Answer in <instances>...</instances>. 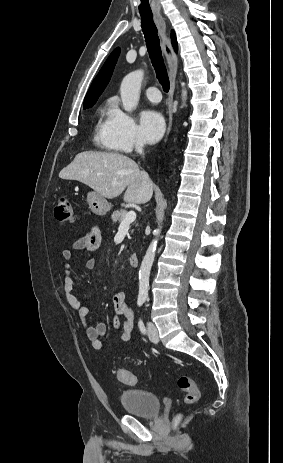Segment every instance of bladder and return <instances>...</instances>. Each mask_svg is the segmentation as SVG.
Returning <instances> with one entry per match:
<instances>
[{
	"label": "bladder",
	"mask_w": 283,
	"mask_h": 463,
	"mask_svg": "<svg viewBox=\"0 0 283 463\" xmlns=\"http://www.w3.org/2000/svg\"><path fill=\"white\" fill-rule=\"evenodd\" d=\"M122 409L131 415L155 418L161 411V399L154 393L140 390L127 389L120 394Z\"/></svg>",
	"instance_id": "obj_1"
}]
</instances>
